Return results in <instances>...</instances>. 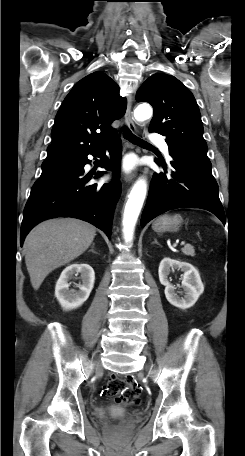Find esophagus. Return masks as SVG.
<instances>
[{
	"label": "esophagus",
	"mask_w": 245,
	"mask_h": 456,
	"mask_svg": "<svg viewBox=\"0 0 245 456\" xmlns=\"http://www.w3.org/2000/svg\"><path fill=\"white\" fill-rule=\"evenodd\" d=\"M125 122L130 131L135 132L136 131V126L134 123V118L132 114V96H129L128 98V104H127V109L125 113ZM137 175V171L133 170L132 172L126 173L124 176V179L126 182L130 183L132 182Z\"/></svg>",
	"instance_id": "34e87169"
}]
</instances>
